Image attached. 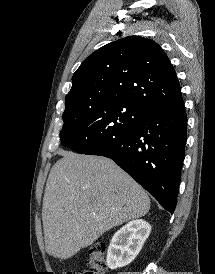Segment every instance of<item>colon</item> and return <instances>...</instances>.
<instances>
[{"instance_id": "1", "label": "colon", "mask_w": 215, "mask_h": 274, "mask_svg": "<svg viewBox=\"0 0 215 274\" xmlns=\"http://www.w3.org/2000/svg\"><path fill=\"white\" fill-rule=\"evenodd\" d=\"M106 245L97 242L92 245L89 251L88 269L85 271H68L66 274H104L106 271L105 262Z\"/></svg>"}]
</instances>
